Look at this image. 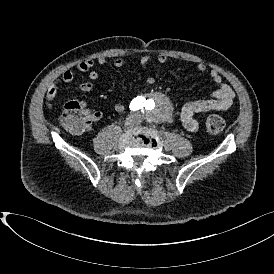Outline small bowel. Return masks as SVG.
Returning a JSON list of instances; mask_svg holds the SVG:
<instances>
[{"instance_id":"obj_1","label":"small bowel","mask_w":274,"mask_h":274,"mask_svg":"<svg viewBox=\"0 0 274 274\" xmlns=\"http://www.w3.org/2000/svg\"><path fill=\"white\" fill-rule=\"evenodd\" d=\"M152 60L150 55H144L140 58V65L146 68ZM157 61L161 64L168 62V56L164 53L157 56ZM105 66L107 64V59L104 57H99L96 60L86 59L77 64L75 71L82 74H87L88 80L81 82L79 88L82 91H91L95 88L99 82V73L94 70L95 65ZM125 65V61L122 58H116L113 61V66L115 68H122ZM197 71L201 74L209 73L210 80L218 86V88L211 94L208 98L193 100L185 103L180 110V121L182 126L189 132H196L199 129L200 121L196 115L206 114L211 111H227L234 100L235 93L233 89L226 83L223 82L222 76L216 70L207 69L206 65L199 63L196 66ZM74 70H66L63 74L54 80L47 92V100L43 103L42 108L45 112L50 113L54 110V100L57 95L58 85L61 83H69L74 79ZM147 85H154L156 83L155 78L147 77L144 80ZM114 110L118 113L125 111V106L121 103H117L114 106ZM84 122L73 130L75 134H82L92 128L93 125L99 123L103 119V113L99 110H93L87 113Z\"/></svg>"}]
</instances>
